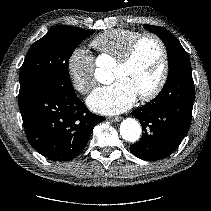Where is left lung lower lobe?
Listing matches in <instances>:
<instances>
[{
	"label": "left lung lower lobe",
	"instance_id": "obj_1",
	"mask_svg": "<svg viewBox=\"0 0 211 211\" xmlns=\"http://www.w3.org/2000/svg\"><path fill=\"white\" fill-rule=\"evenodd\" d=\"M194 98L191 66L168 74L161 92L131 113L144 131L142 138L130 147L131 152L147 161L171 155L190 128Z\"/></svg>",
	"mask_w": 211,
	"mask_h": 211
}]
</instances>
